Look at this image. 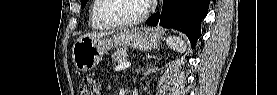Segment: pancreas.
Instances as JSON below:
<instances>
[{
    "label": "pancreas",
    "instance_id": "pancreas-1",
    "mask_svg": "<svg viewBox=\"0 0 277 95\" xmlns=\"http://www.w3.org/2000/svg\"><path fill=\"white\" fill-rule=\"evenodd\" d=\"M127 57L128 54L126 50H117L112 56L114 64H119L126 61Z\"/></svg>",
    "mask_w": 277,
    "mask_h": 95
}]
</instances>
